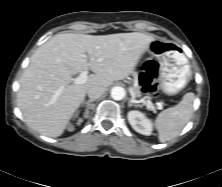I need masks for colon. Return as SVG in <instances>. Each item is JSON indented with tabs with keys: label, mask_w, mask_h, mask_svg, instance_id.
Masks as SVG:
<instances>
[{
	"label": "colon",
	"mask_w": 222,
	"mask_h": 187,
	"mask_svg": "<svg viewBox=\"0 0 222 187\" xmlns=\"http://www.w3.org/2000/svg\"><path fill=\"white\" fill-rule=\"evenodd\" d=\"M158 76V68L153 62H147L144 66L141 84L146 92L155 94L157 92V84L155 79Z\"/></svg>",
	"instance_id": "1"
}]
</instances>
